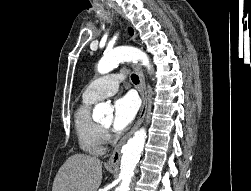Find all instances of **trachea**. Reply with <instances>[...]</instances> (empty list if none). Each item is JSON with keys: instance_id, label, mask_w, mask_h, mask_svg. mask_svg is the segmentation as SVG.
Returning a JSON list of instances; mask_svg holds the SVG:
<instances>
[{"instance_id": "trachea-1", "label": "trachea", "mask_w": 251, "mask_h": 191, "mask_svg": "<svg viewBox=\"0 0 251 191\" xmlns=\"http://www.w3.org/2000/svg\"><path fill=\"white\" fill-rule=\"evenodd\" d=\"M131 80L135 85H138L139 77L137 75H135L134 73L131 75Z\"/></svg>"}]
</instances>
